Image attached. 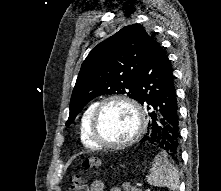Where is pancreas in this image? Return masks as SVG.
I'll return each instance as SVG.
<instances>
[{"label": "pancreas", "mask_w": 221, "mask_h": 191, "mask_svg": "<svg viewBox=\"0 0 221 191\" xmlns=\"http://www.w3.org/2000/svg\"><path fill=\"white\" fill-rule=\"evenodd\" d=\"M123 188L125 191H142L141 189L131 186L129 183H124Z\"/></svg>", "instance_id": "cf45deb5"}]
</instances>
